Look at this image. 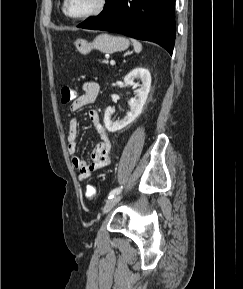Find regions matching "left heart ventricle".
<instances>
[{
    "mask_svg": "<svg viewBox=\"0 0 243 289\" xmlns=\"http://www.w3.org/2000/svg\"><path fill=\"white\" fill-rule=\"evenodd\" d=\"M99 0H69V12L74 16L83 15L93 11Z\"/></svg>",
    "mask_w": 243,
    "mask_h": 289,
    "instance_id": "obj_1",
    "label": "left heart ventricle"
}]
</instances>
